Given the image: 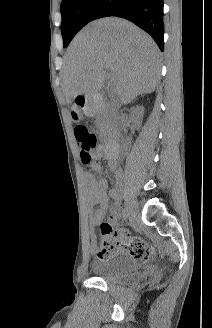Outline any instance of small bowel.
<instances>
[{"mask_svg":"<svg viewBox=\"0 0 212 328\" xmlns=\"http://www.w3.org/2000/svg\"><path fill=\"white\" fill-rule=\"evenodd\" d=\"M102 153V147L98 149L95 156L99 157ZM94 170L98 173V177H94L92 174L86 173L84 175V190L85 196L88 205H98L99 208L92 214L91 216V224L93 227L104 224L103 220L107 212L109 211V220L108 223L111 228L118 224L120 220V187L111 189L108 191L107 183L102 176L101 168L98 165H93ZM116 179L118 184L122 179L121 170L116 171ZM110 199L113 200V205L110 207ZM117 244L112 252V254L108 258L112 257H126L129 256L135 261H140L141 256L144 251H148V248L137 237L132 236L127 230L121 229L117 232ZM92 249L97 252V256L100 259H108L102 258L98 255V247L96 236H92Z\"/></svg>","mask_w":212,"mask_h":328,"instance_id":"small-bowel-1","label":"small bowel"}]
</instances>
